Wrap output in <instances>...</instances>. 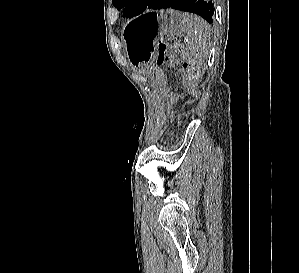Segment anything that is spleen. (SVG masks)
<instances>
[{"instance_id":"obj_1","label":"spleen","mask_w":299,"mask_h":273,"mask_svg":"<svg viewBox=\"0 0 299 273\" xmlns=\"http://www.w3.org/2000/svg\"><path fill=\"white\" fill-rule=\"evenodd\" d=\"M182 30L186 34L184 42L190 55L199 61H204L209 54L210 26L196 15L183 13L180 16Z\"/></svg>"}]
</instances>
